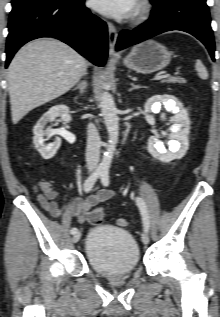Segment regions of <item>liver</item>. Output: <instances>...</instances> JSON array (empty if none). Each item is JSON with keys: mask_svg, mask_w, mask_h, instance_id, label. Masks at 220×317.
<instances>
[{"mask_svg": "<svg viewBox=\"0 0 220 317\" xmlns=\"http://www.w3.org/2000/svg\"><path fill=\"white\" fill-rule=\"evenodd\" d=\"M85 68V59L59 40L37 39L24 45L7 72L13 124L32 109L68 92Z\"/></svg>", "mask_w": 220, "mask_h": 317, "instance_id": "obj_1", "label": "liver"}]
</instances>
